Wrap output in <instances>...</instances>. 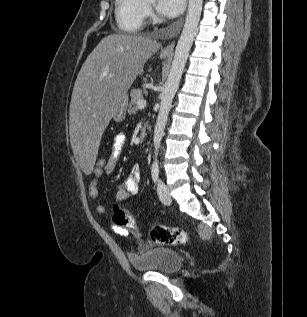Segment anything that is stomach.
<instances>
[{
    "label": "stomach",
    "instance_id": "obj_1",
    "mask_svg": "<svg viewBox=\"0 0 307 317\" xmlns=\"http://www.w3.org/2000/svg\"><path fill=\"white\" fill-rule=\"evenodd\" d=\"M163 58L166 56H162ZM126 105H127V96L119 103L116 112L113 115V118L117 122H121L125 119L126 116Z\"/></svg>",
    "mask_w": 307,
    "mask_h": 317
}]
</instances>
